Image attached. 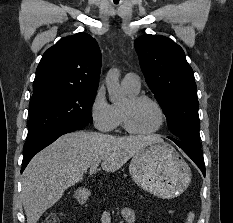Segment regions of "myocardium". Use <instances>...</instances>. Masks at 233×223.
I'll list each match as a JSON object with an SVG mask.
<instances>
[{"mask_svg":"<svg viewBox=\"0 0 233 223\" xmlns=\"http://www.w3.org/2000/svg\"><path fill=\"white\" fill-rule=\"evenodd\" d=\"M142 101L152 102L159 110L161 116V123L159 127L151 132H138L131 125V121H130L131 108ZM121 116H122L123 127L126 130V132L136 137H150L159 134L165 128L167 122L166 111L162 106V104L156 98L145 94H136L134 96L129 97L125 102V105L122 106Z\"/></svg>","mask_w":233,"mask_h":223,"instance_id":"obj_1","label":"myocardium"}]
</instances>
